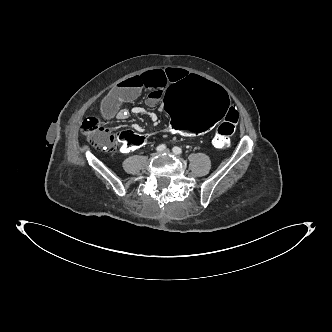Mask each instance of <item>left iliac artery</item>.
Here are the masks:
<instances>
[{
	"label": "left iliac artery",
	"mask_w": 332,
	"mask_h": 332,
	"mask_svg": "<svg viewBox=\"0 0 332 332\" xmlns=\"http://www.w3.org/2000/svg\"><path fill=\"white\" fill-rule=\"evenodd\" d=\"M172 151L176 155H181L182 154V149L178 146L173 147Z\"/></svg>",
	"instance_id": "obj_1"
}]
</instances>
